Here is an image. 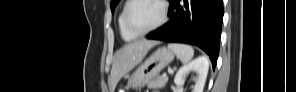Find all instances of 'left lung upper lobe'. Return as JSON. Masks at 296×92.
I'll list each match as a JSON object with an SVG mask.
<instances>
[{
  "label": "left lung upper lobe",
  "mask_w": 296,
  "mask_h": 92,
  "mask_svg": "<svg viewBox=\"0 0 296 92\" xmlns=\"http://www.w3.org/2000/svg\"><path fill=\"white\" fill-rule=\"evenodd\" d=\"M120 0H112L111 1V10H112V13L114 12V9L117 5V3L119 2Z\"/></svg>",
  "instance_id": "1"
}]
</instances>
